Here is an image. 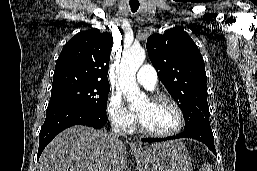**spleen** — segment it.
<instances>
[{
	"label": "spleen",
	"mask_w": 257,
	"mask_h": 171,
	"mask_svg": "<svg viewBox=\"0 0 257 171\" xmlns=\"http://www.w3.org/2000/svg\"><path fill=\"white\" fill-rule=\"evenodd\" d=\"M200 171H213L212 166L209 163L202 165Z\"/></svg>",
	"instance_id": "1"
}]
</instances>
